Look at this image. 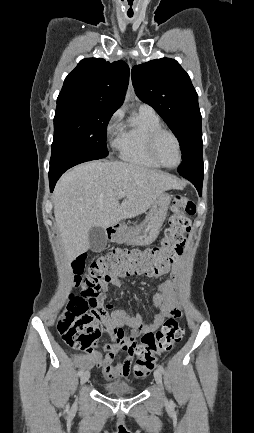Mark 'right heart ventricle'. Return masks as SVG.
<instances>
[{
    "instance_id": "right-heart-ventricle-1",
    "label": "right heart ventricle",
    "mask_w": 254,
    "mask_h": 433,
    "mask_svg": "<svg viewBox=\"0 0 254 433\" xmlns=\"http://www.w3.org/2000/svg\"><path fill=\"white\" fill-rule=\"evenodd\" d=\"M158 127H161V122L154 111L139 109L119 127L113 142L119 158L139 167L158 169L147 148L149 134Z\"/></svg>"
}]
</instances>
